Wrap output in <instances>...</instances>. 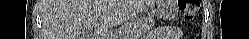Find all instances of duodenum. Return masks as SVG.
<instances>
[{
	"mask_svg": "<svg viewBox=\"0 0 249 39\" xmlns=\"http://www.w3.org/2000/svg\"><path fill=\"white\" fill-rule=\"evenodd\" d=\"M102 38L106 39V37H105V36H103Z\"/></svg>",
	"mask_w": 249,
	"mask_h": 39,
	"instance_id": "duodenum-1",
	"label": "duodenum"
}]
</instances>
